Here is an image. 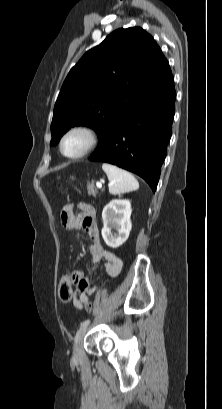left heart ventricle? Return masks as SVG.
Segmentation results:
<instances>
[{
  "instance_id": "1",
  "label": "left heart ventricle",
  "mask_w": 222,
  "mask_h": 409,
  "mask_svg": "<svg viewBox=\"0 0 222 409\" xmlns=\"http://www.w3.org/2000/svg\"><path fill=\"white\" fill-rule=\"evenodd\" d=\"M87 143V137L83 133H73L64 142V151L68 154L80 152Z\"/></svg>"
}]
</instances>
